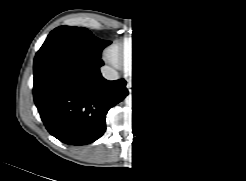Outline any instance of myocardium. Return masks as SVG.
I'll return each mask as SVG.
<instances>
[{"instance_id":"1","label":"myocardium","mask_w":246,"mask_h":181,"mask_svg":"<svg viewBox=\"0 0 246 181\" xmlns=\"http://www.w3.org/2000/svg\"><path fill=\"white\" fill-rule=\"evenodd\" d=\"M159 50H160V47H158V48L152 50V51L147 55V57H146L145 60L143 61V64H144V67H145V68H147V67L151 64L152 60H153L154 57L157 55V53L159 52Z\"/></svg>"}]
</instances>
